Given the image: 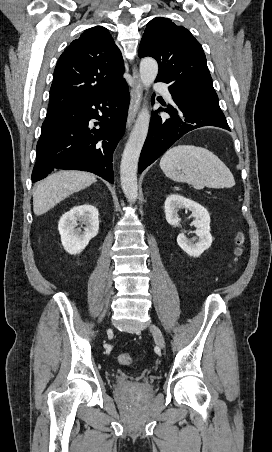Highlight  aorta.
<instances>
[{
    "label": "aorta",
    "instance_id": "762f6f07",
    "mask_svg": "<svg viewBox=\"0 0 272 452\" xmlns=\"http://www.w3.org/2000/svg\"><path fill=\"white\" fill-rule=\"evenodd\" d=\"M140 79L148 88L155 81L158 73V64L151 57L143 58L140 62ZM150 123V114L145 105L139 113L135 125L125 145L121 166V186L129 202H135L138 197L137 167L138 160L146 140Z\"/></svg>",
    "mask_w": 272,
    "mask_h": 452
}]
</instances>
